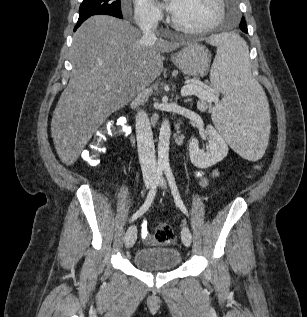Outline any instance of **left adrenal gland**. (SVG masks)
I'll list each match as a JSON object with an SVG mask.
<instances>
[{
    "label": "left adrenal gland",
    "mask_w": 307,
    "mask_h": 317,
    "mask_svg": "<svg viewBox=\"0 0 307 317\" xmlns=\"http://www.w3.org/2000/svg\"><path fill=\"white\" fill-rule=\"evenodd\" d=\"M190 101H192L191 98H187V99L184 100V102H186V103H188V102H190Z\"/></svg>",
    "instance_id": "a2214340"
}]
</instances>
